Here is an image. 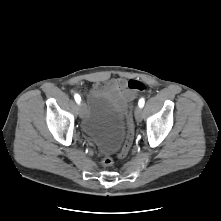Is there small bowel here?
<instances>
[{
	"label": "small bowel",
	"mask_w": 221,
	"mask_h": 221,
	"mask_svg": "<svg viewBox=\"0 0 221 221\" xmlns=\"http://www.w3.org/2000/svg\"><path fill=\"white\" fill-rule=\"evenodd\" d=\"M104 86L114 94V98L123 109L135 98L134 93L127 89V82L123 78L110 79Z\"/></svg>",
	"instance_id": "small-bowel-1"
}]
</instances>
